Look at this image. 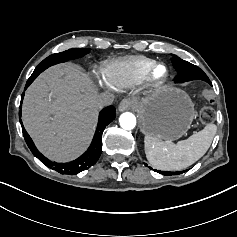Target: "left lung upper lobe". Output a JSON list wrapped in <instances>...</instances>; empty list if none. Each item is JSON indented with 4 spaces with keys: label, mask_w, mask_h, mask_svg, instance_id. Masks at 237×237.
I'll list each match as a JSON object with an SVG mask.
<instances>
[{
    "label": "left lung upper lobe",
    "mask_w": 237,
    "mask_h": 237,
    "mask_svg": "<svg viewBox=\"0 0 237 237\" xmlns=\"http://www.w3.org/2000/svg\"><path fill=\"white\" fill-rule=\"evenodd\" d=\"M172 64L178 73L177 77L174 80L175 83H183V82L192 81V80H202L212 85L207 75L198 66H195L187 61H184L180 59L179 57H177L176 55H174V58L172 59ZM155 171L163 175H168V176L178 173V172L173 173V172H166V171L164 172V171H157V170Z\"/></svg>",
    "instance_id": "left-lung-upper-lobe-1"
}]
</instances>
